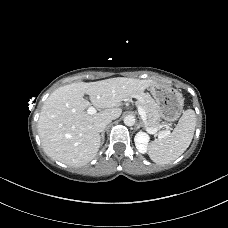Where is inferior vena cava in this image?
<instances>
[{
  "label": "inferior vena cava",
  "mask_w": 228,
  "mask_h": 228,
  "mask_svg": "<svg viewBox=\"0 0 228 228\" xmlns=\"http://www.w3.org/2000/svg\"><path fill=\"white\" fill-rule=\"evenodd\" d=\"M112 119H104V120H100L97 121L94 124L95 130L98 132H103L105 127L111 122Z\"/></svg>",
  "instance_id": "inferior-vena-cava-1"
}]
</instances>
